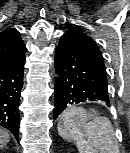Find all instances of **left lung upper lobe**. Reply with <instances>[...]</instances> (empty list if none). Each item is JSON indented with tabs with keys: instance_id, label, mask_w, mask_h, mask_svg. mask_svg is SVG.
<instances>
[{
	"instance_id": "obj_1",
	"label": "left lung upper lobe",
	"mask_w": 130,
	"mask_h": 153,
	"mask_svg": "<svg viewBox=\"0 0 130 153\" xmlns=\"http://www.w3.org/2000/svg\"><path fill=\"white\" fill-rule=\"evenodd\" d=\"M70 30H77V29L73 28V29H70Z\"/></svg>"
}]
</instances>
